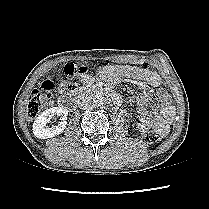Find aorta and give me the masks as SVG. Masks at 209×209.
<instances>
[{"mask_svg": "<svg viewBox=\"0 0 209 209\" xmlns=\"http://www.w3.org/2000/svg\"><path fill=\"white\" fill-rule=\"evenodd\" d=\"M94 103L98 106H103L105 103H106V98L104 96H102L101 94L100 95H96L94 97Z\"/></svg>", "mask_w": 209, "mask_h": 209, "instance_id": "1", "label": "aorta"}]
</instances>
